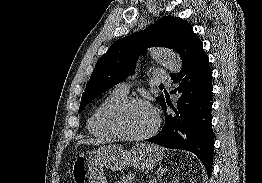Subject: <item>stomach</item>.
I'll list each match as a JSON object with an SVG mask.
<instances>
[{
	"label": "stomach",
	"instance_id": "obj_1",
	"mask_svg": "<svg viewBox=\"0 0 262 183\" xmlns=\"http://www.w3.org/2000/svg\"><path fill=\"white\" fill-rule=\"evenodd\" d=\"M162 157V149L153 144L139 143L130 150L116 144L101 145L76 157L72 177L74 183H107L104 167L121 170L131 165L140 170H151Z\"/></svg>",
	"mask_w": 262,
	"mask_h": 183
}]
</instances>
